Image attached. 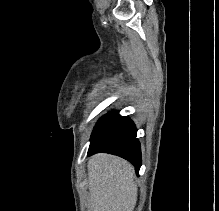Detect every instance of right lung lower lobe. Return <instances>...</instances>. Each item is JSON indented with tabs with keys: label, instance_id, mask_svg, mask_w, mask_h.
<instances>
[{
	"label": "right lung lower lobe",
	"instance_id": "right-lung-lower-lobe-1",
	"mask_svg": "<svg viewBox=\"0 0 219 211\" xmlns=\"http://www.w3.org/2000/svg\"><path fill=\"white\" fill-rule=\"evenodd\" d=\"M136 132L135 124L128 117L109 112L98 121L92 132L88 156L99 152L120 156L131 162L138 174L141 150Z\"/></svg>",
	"mask_w": 219,
	"mask_h": 211
}]
</instances>
